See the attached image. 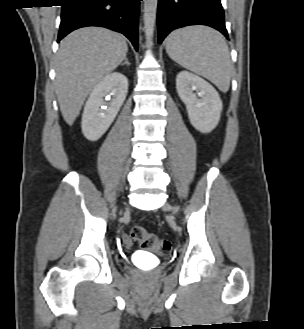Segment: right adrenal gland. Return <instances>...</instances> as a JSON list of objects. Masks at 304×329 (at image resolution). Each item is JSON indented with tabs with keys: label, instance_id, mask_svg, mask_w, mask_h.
Segmentation results:
<instances>
[{
	"label": "right adrenal gland",
	"instance_id": "right-adrenal-gland-1",
	"mask_svg": "<svg viewBox=\"0 0 304 329\" xmlns=\"http://www.w3.org/2000/svg\"><path fill=\"white\" fill-rule=\"evenodd\" d=\"M125 64L130 65V63H129V61H128L127 58H125V61L121 64V66H123V65H125Z\"/></svg>",
	"mask_w": 304,
	"mask_h": 329
}]
</instances>
